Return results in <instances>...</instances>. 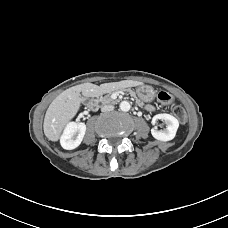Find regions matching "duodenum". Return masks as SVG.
Returning a JSON list of instances; mask_svg holds the SVG:
<instances>
[{"label":"duodenum","instance_id":"410a0bca","mask_svg":"<svg viewBox=\"0 0 228 228\" xmlns=\"http://www.w3.org/2000/svg\"><path fill=\"white\" fill-rule=\"evenodd\" d=\"M89 106H90V108H92V109H96V108H97V102H96V100H95V99H91V100L89 101Z\"/></svg>","mask_w":228,"mask_h":228}]
</instances>
